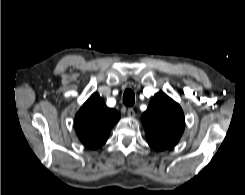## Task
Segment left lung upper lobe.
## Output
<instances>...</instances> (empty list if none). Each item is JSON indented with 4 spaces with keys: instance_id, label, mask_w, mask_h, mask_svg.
Listing matches in <instances>:
<instances>
[{
    "instance_id": "left-lung-upper-lobe-1",
    "label": "left lung upper lobe",
    "mask_w": 245,
    "mask_h": 195,
    "mask_svg": "<svg viewBox=\"0 0 245 195\" xmlns=\"http://www.w3.org/2000/svg\"><path fill=\"white\" fill-rule=\"evenodd\" d=\"M141 120L148 144L160 151L173 147L179 141L185 127L181 107L163 92L151 98Z\"/></svg>"
}]
</instances>
